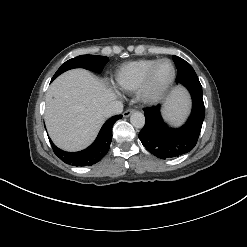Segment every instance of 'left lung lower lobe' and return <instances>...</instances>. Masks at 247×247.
<instances>
[{"label":"left lung lower lobe","mask_w":247,"mask_h":247,"mask_svg":"<svg viewBox=\"0 0 247 247\" xmlns=\"http://www.w3.org/2000/svg\"><path fill=\"white\" fill-rule=\"evenodd\" d=\"M182 84L189 90L193 102L191 115L182 127L169 128L162 120L160 105L144 109L146 122L139 133V139L158 158L185 154L193 149L199 138L205 116L202 86L199 80Z\"/></svg>","instance_id":"0a47b994"}]
</instances>
